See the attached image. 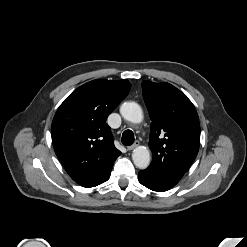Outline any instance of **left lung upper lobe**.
<instances>
[{"mask_svg":"<svg viewBox=\"0 0 247 247\" xmlns=\"http://www.w3.org/2000/svg\"><path fill=\"white\" fill-rule=\"evenodd\" d=\"M151 123L149 147L153 160L145 169L176 185L194 161L200 144L196 109L169 83L142 82Z\"/></svg>","mask_w":247,"mask_h":247,"instance_id":"5c2ea615","label":"left lung upper lobe"}]
</instances>
